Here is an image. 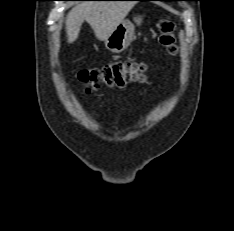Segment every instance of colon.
I'll return each mask as SVG.
<instances>
[{
    "label": "colon",
    "mask_w": 234,
    "mask_h": 231,
    "mask_svg": "<svg viewBox=\"0 0 234 231\" xmlns=\"http://www.w3.org/2000/svg\"><path fill=\"white\" fill-rule=\"evenodd\" d=\"M173 25L168 20L159 23V42L174 50V38L172 37ZM147 67L145 64L134 61H117L99 68L83 70L79 73V79L97 88L99 85L124 87L131 82H139L145 79Z\"/></svg>",
    "instance_id": "1"
}]
</instances>
